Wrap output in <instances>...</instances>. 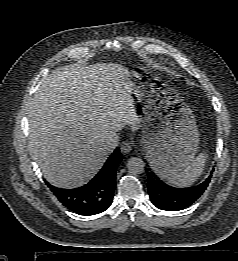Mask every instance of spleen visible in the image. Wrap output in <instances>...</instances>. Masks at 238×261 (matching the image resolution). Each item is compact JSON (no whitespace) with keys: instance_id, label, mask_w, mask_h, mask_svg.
Here are the masks:
<instances>
[{"instance_id":"obj_1","label":"spleen","mask_w":238,"mask_h":261,"mask_svg":"<svg viewBox=\"0 0 238 261\" xmlns=\"http://www.w3.org/2000/svg\"><path fill=\"white\" fill-rule=\"evenodd\" d=\"M207 160L206 153H200L181 172L168 179V183L175 187H188L192 185L202 174Z\"/></svg>"}]
</instances>
